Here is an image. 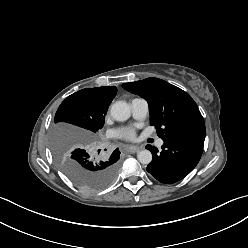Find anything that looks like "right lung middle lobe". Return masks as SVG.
Returning a JSON list of instances; mask_svg holds the SVG:
<instances>
[{
    "mask_svg": "<svg viewBox=\"0 0 248 248\" xmlns=\"http://www.w3.org/2000/svg\"><path fill=\"white\" fill-rule=\"evenodd\" d=\"M107 107L90 99L83 90L68 96L59 106L55 123L67 122L91 132H98L104 126ZM89 133V132H88ZM91 135V133H89ZM90 149H75L54 145V155L63 172L86 191L106 188L115 179L119 168V156L99 157Z\"/></svg>",
    "mask_w": 248,
    "mask_h": 248,
    "instance_id": "obj_1",
    "label": "right lung middle lobe"
}]
</instances>
